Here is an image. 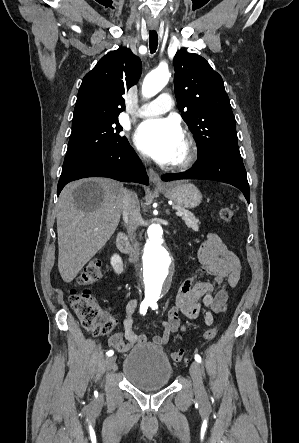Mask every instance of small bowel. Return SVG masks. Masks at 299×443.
<instances>
[{
    "mask_svg": "<svg viewBox=\"0 0 299 443\" xmlns=\"http://www.w3.org/2000/svg\"><path fill=\"white\" fill-rule=\"evenodd\" d=\"M198 259L201 263L200 269L181 284L175 304L168 312V320L161 324L162 334L153 336L151 340L153 346L162 347L173 334L185 330L181 316L196 319L205 308L204 322L211 325L214 315L226 309L229 298L227 288H235L243 273L240 259L223 244L216 233L207 234L199 248ZM202 274L213 276L218 288L216 289L215 284L210 281L198 280V276ZM137 307L136 299L128 301L123 320L124 331L114 333L109 339V344L120 353L129 351L134 345L147 343L146 335L133 330Z\"/></svg>",
    "mask_w": 299,
    "mask_h": 443,
    "instance_id": "1",
    "label": "small bowel"
}]
</instances>
